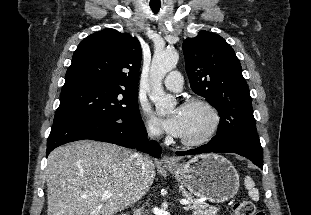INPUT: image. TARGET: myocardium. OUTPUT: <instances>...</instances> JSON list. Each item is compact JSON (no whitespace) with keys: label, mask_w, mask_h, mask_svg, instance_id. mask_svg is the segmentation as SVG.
<instances>
[{"label":"myocardium","mask_w":311,"mask_h":215,"mask_svg":"<svg viewBox=\"0 0 311 215\" xmlns=\"http://www.w3.org/2000/svg\"><path fill=\"white\" fill-rule=\"evenodd\" d=\"M182 107L184 108L201 107L205 109L211 117V124L207 132L200 138H197V139L180 138V142L187 147H199V146L206 144L208 141H210L214 137V135L216 134L219 128L220 121H221L219 112L211 103L200 98H192V99L186 100L182 104Z\"/></svg>","instance_id":"myocardium-1"}]
</instances>
